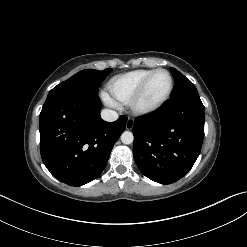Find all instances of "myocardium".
Wrapping results in <instances>:
<instances>
[{
	"mask_svg": "<svg viewBox=\"0 0 247 247\" xmlns=\"http://www.w3.org/2000/svg\"><path fill=\"white\" fill-rule=\"evenodd\" d=\"M163 72L165 73L168 78H169V87L168 90L166 92V94L156 103L151 104V105H142L141 104V100L147 90V87L151 81V79L157 74ZM174 88V81H173V77L171 75V73L166 70V69H156L153 70L144 80L143 82L140 84V86L138 87V89L136 90V92L134 93V95L131 97L130 101H129V107L131 109V111L136 114V115H148L151 114L155 111H157L159 108H161L170 98L172 91Z\"/></svg>",
	"mask_w": 247,
	"mask_h": 247,
	"instance_id": "myocardium-1",
	"label": "myocardium"
}]
</instances>
